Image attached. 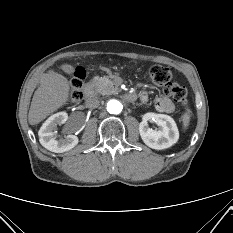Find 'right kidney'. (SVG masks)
<instances>
[{
	"label": "right kidney",
	"instance_id": "ca27d5eb",
	"mask_svg": "<svg viewBox=\"0 0 233 233\" xmlns=\"http://www.w3.org/2000/svg\"><path fill=\"white\" fill-rule=\"evenodd\" d=\"M68 119L66 112H58L50 116L40 128L39 141L46 149L55 152L62 153L71 150L78 144V137L75 135H67L64 138L56 139L57 126L64 124Z\"/></svg>",
	"mask_w": 233,
	"mask_h": 233
}]
</instances>
